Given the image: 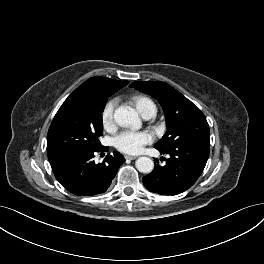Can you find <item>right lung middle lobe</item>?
I'll use <instances>...</instances> for the list:
<instances>
[{
  "mask_svg": "<svg viewBox=\"0 0 264 264\" xmlns=\"http://www.w3.org/2000/svg\"><path fill=\"white\" fill-rule=\"evenodd\" d=\"M108 98L70 94L56 113L47 135L48 159L64 152L103 148L102 111Z\"/></svg>",
  "mask_w": 264,
  "mask_h": 264,
  "instance_id": "dd1d6c3e",
  "label": "right lung middle lobe"
}]
</instances>
